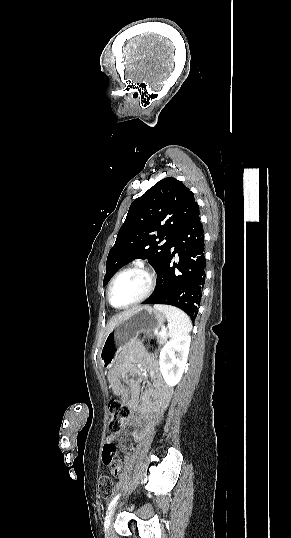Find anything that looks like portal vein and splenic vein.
I'll return each instance as SVG.
<instances>
[{
    "mask_svg": "<svg viewBox=\"0 0 291 538\" xmlns=\"http://www.w3.org/2000/svg\"><path fill=\"white\" fill-rule=\"evenodd\" d=\"M159 334H160L161 336H164L166 333H165V332H159Z\"/></svg>",
    "mask_w": 291,
    "mask_h": 538,
    "instance_id": "18ae733b",
    "label": "portal vein and splenic vein"
}]
</instances>
